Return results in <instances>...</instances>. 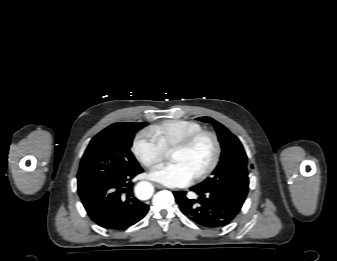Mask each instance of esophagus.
<instances>
[{
    "instance_id": "obj_1",
    "label": "esophagus",
    "mask_w": 337,
    "mask_h": 261,
    "mask_svg": "<svg viewBox=\"0 0 337 261\" xmlns=\"http://www.w3.org/2000/svg\"><path fill=\"white\" fill-rule=\"evenodd\" d=\"M154 185H155V187L158 188V189H164V188H165L163 185L158 184V183H155Z\"/></svg>"
}]
</instances>
